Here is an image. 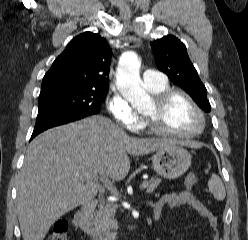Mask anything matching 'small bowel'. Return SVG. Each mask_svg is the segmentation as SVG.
Here are the masks:
<instances>
[{"label":"small bowel","mask_w":248,"mask_h":240,"mask_svg":"<svg viewBox=\"0 0 248 240\" xmlns=\"http://www.w3.org/2000/svg\"><path fill=\"white\" fill-rule=\"evenodd\" d=\"M184 205H189L202 218L206 219L209 227L214 231L213 240H220L218 235V218L191 193L179 192L164 194L156 202L150 204L155 219L160 218L166 206L171 209H178Z\"/></svg>","instance_id":"c3829d8e"}]
</instances>
